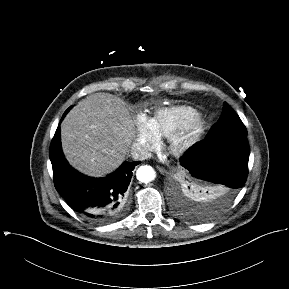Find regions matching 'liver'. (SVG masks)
Listing matches in <instances>:
<instances>
[{"label":"liver","instance_id":"1","mask_svg":"<svg viewBox=\"0 0 289 289\" xmlns=\"http://www.w3.org/2000/svg\"><path fill=\"white\" fill-rule=\"evenodd\" d=\"M134 136V121L128 108L109 93L87 96L61 124V144L68 162L93 177L117 169L129 153Z\"/></svg>","mask_w":289,"mask_h":289}]
</instances>
